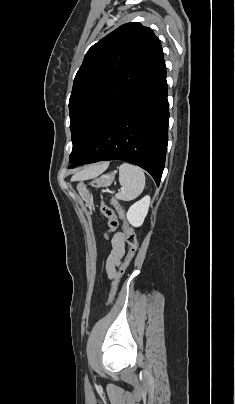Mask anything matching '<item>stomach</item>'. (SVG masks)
<instances>
[{
	"label": "stomach",
	"instance_id": "obj_1",
	"mask_svg": "<svg viewBox=\"0 0 235 404\" xmlns=\"http://www.w3.org/2000/svg\"><path fill=\"white\" fill-rule=\"evenodd\" d=\"M114 177H115V171L107 173V174H103L100 177L95 176V177H93L94 180L92 181L91 184L94 185L95 187H108L112 184ZM77 190H78L80 196L85 201L88 202L90 200V193L84 183L80 182L77 185Z\"/></svg>",
	"mask_w": 235,
	"mask_h": 404
}]
</instances>
